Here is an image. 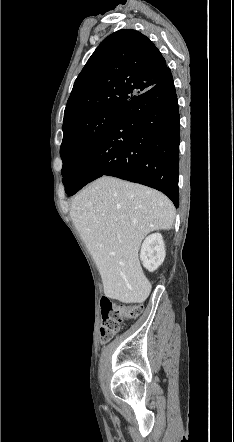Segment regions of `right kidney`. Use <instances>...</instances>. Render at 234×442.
<instances>
[{
	"instance_id": "1",
	"label": "right kidney",
	"mask_w": 234,
	"mask_h": 442,
	"mask_svg": "<svg viewBox=\"0 0 234 442\" xmlns=\"http://www.w3.org/2000/svg\"><path fill=\"white\" fill-rule=\"evenodd\" d=\"M163 237L159 233L151 234L142 243L140 259L149 271H155L165 259Z\"/></svg>"
}]
</instances>
